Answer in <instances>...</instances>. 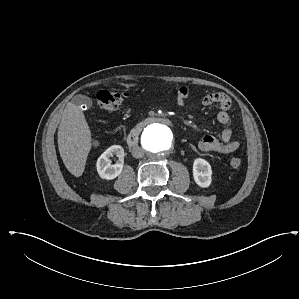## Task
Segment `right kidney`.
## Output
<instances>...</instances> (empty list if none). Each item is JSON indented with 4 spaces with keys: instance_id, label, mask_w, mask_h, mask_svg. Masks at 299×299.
<instances>
[{
    "instance_id": "right-kidney-1",
    "label": "right kidney",
    "mask_w": 299,
    "mask_h": 299,
    "mask_svg": "<svg viewBox=\"0 0 299 299\" xmlns=\"http://www.w3.org/2000/svg\"><path fill=\"white\" fill-rule=\"evenodd\" d=\"M116 155L119 161L111 165L110 157ZM124 149L119 145L109 147L97 160V172L102 179L111 180L116 178L124 166Z\"/></svg>"
}]
</instances>
